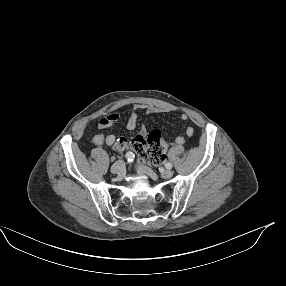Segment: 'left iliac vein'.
<instances>
[{
	"label": "left iliac vein",
	"mask_w": 286,
	"mask_h": 286,
	"mask_svg": "<svg viewBox=\"0 0 286 286\" xmlns=\"http://www.w3.org/2000/svg\"><path fill=\"white\" fill-rule=\"evenodd\" d=\"M172 175H173V173L170 170H163V171H161V176L163 178H171Z\"/></svg>",
	"instance_id": "left-iliac-vein-1"
}]
</instances>
